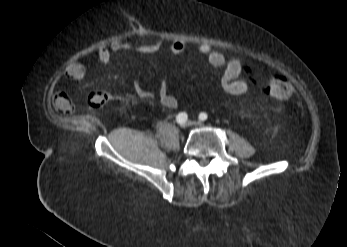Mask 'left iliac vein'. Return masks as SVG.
<instances>
[{
    "label": "left iliac vein",
    "instance_id": "4c4485c4",
    "mask_svg": "<svg viewBox=\"0 0 347 247\" xmlns=\"http://www.w3.org/2000/svg\"><path fill=\"white\" fill-rule=\"evenodd\" d=\"M190 125L200 126L201 122H199V121H192V122H190Z\"/></svg>",
    "mask_w": 347,
    "mask_h": 247
}]
</instances>
